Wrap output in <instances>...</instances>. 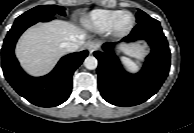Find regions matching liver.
<instances>
[{"label":"liver","instance_id":"1","mask_svg":"<svg viewBox=\"0 0 194 133\" xmlns=\"http://www.w3.org/2000/svg\"><path fill=\"white\" fill-rule=\"evenodd\" d=\"M85 36L81 28L66 21L38 24L21 36L15 53L25 71L40 76L51 71L66 53L62 47L64 42H74L82 47ZM126 51L131 56H139L145 52V48L139 44H131L126 47Z\"/></svg>","mask_w":194,"mask_h":133}]
</instances>
